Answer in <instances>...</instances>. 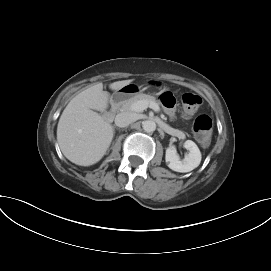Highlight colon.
<instances>
[{
  "mask_svg": "<svg viewBox=\"0 0 271 271\" xmlns=\"http://www.w3.org/2000/svg\"><path fill=\"white\" fill-rule=\"evenodd\" d=\"M162 102L166 107H171L174 103L172 94L165 92L162 95ZM202 104V98L199 95L186 93L182 96V114L189 117L196 113ZM193 131L196 140L200 145L206 147L210 144L212 136V120L207 115H199L193 123Z\"/></svg>",
  "mask_w": 271,
  "mask_h": 271,
  "instance_id": "colon-1",
  "label": "colon"
}]
</instances>
